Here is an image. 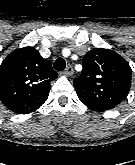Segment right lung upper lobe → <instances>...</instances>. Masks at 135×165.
<instances>
[{"label":"right lung upper lobe","instance_id":"cb5924a9","mask_svg":"<svg viewBox=\"0 0 135 165\" xmlns=\"http://www.w3.org/2000/svg\"><path fill=\"white\" fill-rule=\"evenodd\" d=\"M57 73L33 47L12 51L0 65V99L11 111L28 114L45 103Z\"/></svg>","mask_w":135,"mask_h":165}]
</instances>
